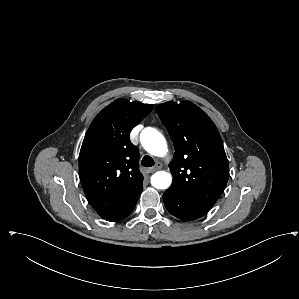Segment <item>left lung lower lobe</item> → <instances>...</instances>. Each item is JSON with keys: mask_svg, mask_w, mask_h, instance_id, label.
Here are the masks:
<instances>
[{"mask_svg": "<svg viewBox=\"0 0 299 299\" xmlns=\"http://www.w3.org/2000/svg\"><path fill=\"white\" fill-rule=\"evenodd\" d=\"M167 210L183 221H192L205 215L209 210L195 204L173 189H167L163 194Z\"/></svg>", "mask_w": 299, "mask_h": 299, "instance_id": "left-lung-lower-lobe-1", "label": "left lung lower lobe"}]
</instances>
